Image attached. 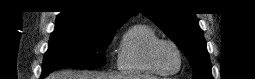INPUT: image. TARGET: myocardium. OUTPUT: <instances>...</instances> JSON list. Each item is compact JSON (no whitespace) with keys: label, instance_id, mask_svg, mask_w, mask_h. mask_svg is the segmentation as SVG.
I'll return each instance as SVG.
<instances>
[{"label":"myocardium","instance_id":"1","mask_svg":"<svg viewBox=\"0 0 255 79\" xmlns=\"http://www.w3.org/2000/svg\"><path fill=\"white\" fill-rule=\"evenodd\" d=\"M161 44H168V45L172 46L175 49V51L177 52L178 57H179V65L176 70L163 69L156 62L155 52H156L157 47ZM147 61H148V64L150 65V67L155 72L162 74V75H172V74L179 72L182 69L183 63H184V58H183V53H182L180 47L174 41L169 40V39L158 38L157 40L152 42L147 49Z\"/></svg>","mask_w":255,"mask_h":79}]
</instances>
